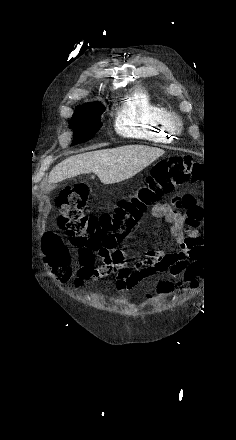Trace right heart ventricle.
<instances>
[{
    "mask_svg": "<svg viewBox=\"0 0 236 440\" xmlns=\"http://www.w3.org/2000/svg\"><path fill=\"white\" fill-rule=\"evenodd\" d=\"M170 110L143 89H137L121 104L115 127L125 137L137 138L151 143H169L174 128L169 122Z\"/></svg>",
    "mask_w": 236,
    "mask_h": 440,
    "instance_id": "e07e8e85",
    "label": "right heart ventricle"
}]
</instances>
